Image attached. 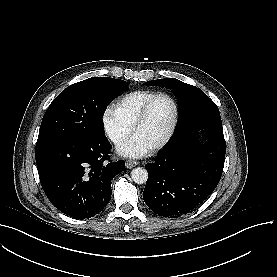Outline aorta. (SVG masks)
Here are the masks:
<instances>
[{"instance_id":"1","label":"aorta","mask_w":277,"mask_h":277,"mask_svg":"<svg viewBox=\"0 0 277 277\" xmlns=\"http://www.w3.org/2000/svg\"><path fill=\"white\" fill-rule=\"evenodd\" d=\"M131 179L136 183V184H144L147 182L148 179V172L145 168L143 167H137L134 168L131 171Z\"/></svg>"}]
</instances>
